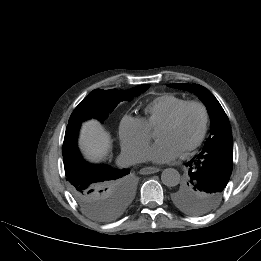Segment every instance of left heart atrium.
<instances>
[{
    "label": "left heart atrium",
    "instance_id": "39dd6f15",
    "mask_svg": "<svg viewBox=\"0 0 261 261\" xmlns=\"http://www.w3.org/2000/svg\"><path fill=\"white\" fill-rule=\"evenodd\" d=\"M180 154L176 146L169 140L157 141L146 153V157L154 163H168Z\"/></svg>",
    "mask_w": 261,
    "mask_h": 261
}]
</instances>
